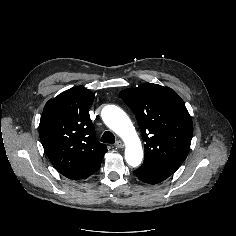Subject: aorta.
<instances>
[{"instance_id":"obj_1","label":"aorta","mask_w":236,"mask_h":236,"mask_svg":"<svg viewBox=\"0 0 236 236\" xmlns=\"http://www.w3.org/2000/svg\"><path fill=\"white\" fill-rule=\"evenodd\" d=\"M102 119L125 142L126 162L132 167L140 165L143 158L141 142L127 114L115 105H107L102 110Z\"/></svg>"}]
</instances>
